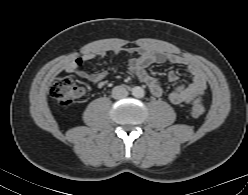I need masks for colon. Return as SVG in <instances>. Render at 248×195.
<instances>
[{
  "label": "colon",
  "mask_w": 248,
  "mask_h": 195,
  "mask_svg": "<svg viewBox=\"0 0 248 195\" xmlns=\"http://www.w3.org/2000/svg\"><path fill=\"white\" fill-rule=\"evenodd\" d=\"M81 88L74 76H63L56 78L50 87L51 97L63 107L71 106L80 96ZM205 112V105L200 97H195L189 106L192 117L198 118Z\"/></svg>",
  "instance_id": "1"
}]
</instances>
